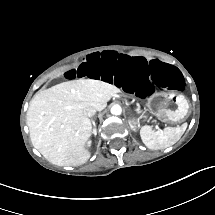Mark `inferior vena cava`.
Listing matches in <instances>:
<instances>
[{
  "instance_id": "602c4592",
  "label": "inferior vena cava",
  "mask_w": 215,
  "mask_h": 215,
  "mask_svg": "<svg viewBox=\"0 0 215 215\" xmlns=\"http://www.w3.org/2000/svg\"><path fill=\"white\" fill-rule=\"evenodd\" d=\"M95 113H96V109L93 108V107H91V106L85 107V108L83 109V114H84V116H86V117H92V116L95 115Z\"/></svg>"
}]
</instances>
